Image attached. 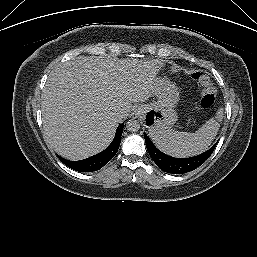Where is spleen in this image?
<instances>
[{
  "label": "spleen",
  "instance_id": "1",
  "mask_svg": "<svg viewBox=\"0 0 257 257\" xmlns=\"http://www.w3.org/2000/svg\"><path fill=\"white\" fill-rule=\"evenodd\" d=\"M223 118V109L216 113V119L211 118L196 132H179L170 128L150 132L153 143L164 153L174 157H191L207 150L215 139Z\"/></svg>",
  "mask_w": 257,
  "mask_h": 257
}]
</instances>
